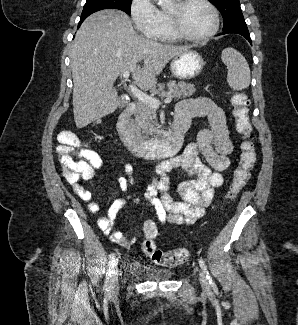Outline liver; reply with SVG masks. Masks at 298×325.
I'll return each instance as SVG.
<instances>
[{"label":"liver","instance_id":"obj_1","mask_svg":"<svg viewBox=\"0 0 298 325\" xmlns=\"http://www.w3.org/2000/svg\"><path fill=\"white\" fill-rule=\"evenodd\" d=\"M189 48L140 36L128 14L117 8L90 14L77 30L70 52L77 128L118 108L117 76L131 72L140 88H155L169 60Z\"/></svg>","mask_w":298,"mask_h":325}]
</instances>
